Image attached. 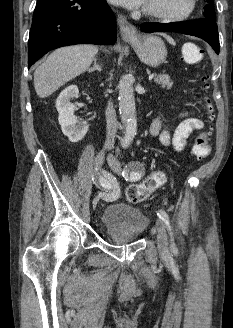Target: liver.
<instances>
[{
  "label": "liver",
  "mask_w": 233,
  "mask_h": 328,
  "mask_svg": "<svg viewBox=\"0 0 233 328\" xmlns=\"http://www.w3.org/2000/svg\"><path fill=\"white\" fill-rule=\"evenodd\" d=\"M98 53L94 45H75L53 51L34 72V87L45 98L86 71Z\"/></svg>",
  "instance_id": "liver-1"
}]
</instances>
